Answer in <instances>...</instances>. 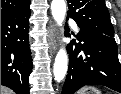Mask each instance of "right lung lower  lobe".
Returning <instances> with one entry per match:
<instances>
[{
	"label": "right lung lower lobe",
	"mask_w": 121,
	"mask_h": 94,
	"mask_svg": "<svg viewBox=\"0 0 121 94\" xmlns=\"http://www.w3.org/2000/svg\"><path fill=\"white\" fill-rule=\"evenodd\" d=\"M26 9L1 17V85L17 94H29L33 63L29 48V18Z\"/></svg>",
	"instance_id": "right-lung-lower-lobe-1"
}]
</instances>
